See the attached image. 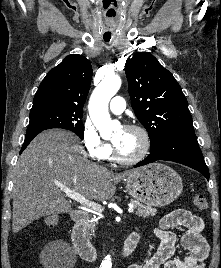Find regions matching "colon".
I'll use <instances>...</instances> for the list:
<instances>
[{
  "label": "colon",
  "mask_w": 221,
  "mask_h": 268,
  "mask_svg": "<svg viewBox=\"0 0 221 268\" xmlns=\"http://www.w3.org/2000/svg\"><path fill=\"white\" fill-rule=\"evenodd\" d=\"M193 203L200 211H205L208 208V202L203 195L194 196ZM43 222L46 227L55 228L59 224V218L56 215H49L44 218Z\"/></svg>",
  "instance_id": "colon-1"
}]
</instances>
